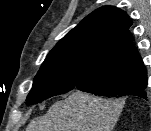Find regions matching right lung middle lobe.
<instances>
[{"instance_id":"dd1d6c3e","label":"right lung middle lobe","mask_w":151,"mask_h":131,"mask_svg":"<svg viewBox=\"0 0 151 131\" xmlns=\"http://www.w3.org/2000/svg\"><path fill=\"white\" fill-rule=\"evenodd\" d=\"M80 76L93 78L98 81L101 88H108L100 79L92 56L75 50L67 43L57 44L47 55L35 76L26 104H37L75 89V80Z\"/></svg>"}]
</instances>
